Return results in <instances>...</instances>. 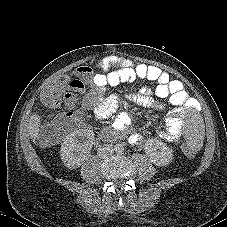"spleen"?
I'll return each instance as SVG.
<instances>
[{
	"instance_id": "1",
	"label": "spleen",
	"mask_w": 227,
	"mask_h": 227,
	"mask_svg": "<svg viewBox=\"0 0 227 227\" xmlns=\"http://www.w3.org/2000/svg\"><path fill=\"white\" fill-rule=\"evenodd\" d=\"M185 139L192 146H199L206 139L205 120L198 113H191L184 120Z\"/></svg>"
}]
</instances>
